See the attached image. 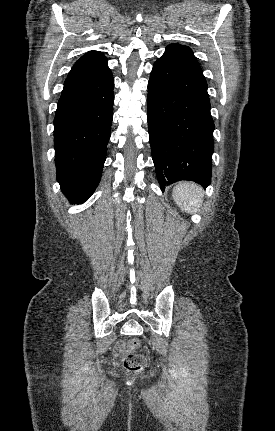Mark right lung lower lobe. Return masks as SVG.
<instances>
[{
	"label": "right lung lower lobe",
	"instance_id": "98d812e1",
	"mask_svg": "<svg viewBox=\"0 0 275 431\" xmlns=\"http://www.w3.org/2000/svg\"><path fill=\"white\" fill-rule=\"evenodd\" d=\"M114 79L110 69L64 84L54 119L57 180L67 198L86 201L97 187L111 135Z\"/></svg>",
	"mask_w": 275,
	"mask_h": 431
}]
</instances>
